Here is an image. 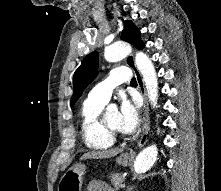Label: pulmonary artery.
Here are the masks:
<instances>
[{
    "mask_svg": "<svg viewBox=\"0 0 221 191\" xmlns=\"http://www.w3.org/2000/svg\"><path fill=\"white\" fill-rule=\"evenodd\" d=\"M132 78V72L128 67L114 68L107 79L92 88L87 99L98 103H107L112 91L121 83L129 82Z\"/></svg>",
    "mask_w": 221,
    "mask_h": 191,
    "instance_id": "e3ab8cb5",
    "label": "pulmonary artery"
}]
</instances>
